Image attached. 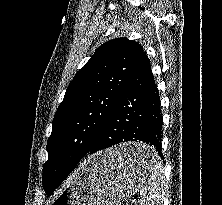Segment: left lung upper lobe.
Here are the masks:
<instances>
[{
	"label": "left lung upper lobe",
	"mask_w": 222,
	"mask_h": 205,
	"mask_svg": "<svg viewBox=\"0 0 222 205\" xmlns=\"http://www.w3.org/2000/svg\"><path fill=\"white\" fill-rule=\"evenodd\" d=\"M142 46L126 38L101 45L75 75L53 119L43 165V188L50 194L61 178L56 161L65 153L85 155L143 56Z\"/></svg>",
	"instance_id": "obj_1"
}]
</instances>
